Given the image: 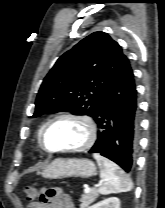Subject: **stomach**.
<instances>
[{
	"label": "stomach",
	"mask_w": 165,
	"mask_h": 208,
	"mask_svg": "<svg viewBox=\"0 0 165 208\" xmlns=\"http://www.w3.org/2000/svg\"><path fill=\"white\" fill-rule=\"evenodd\" d=\"M95 174V164L85 158H57L46 165L41 172V175L48 179L88 178Z\"/></svg>",
	"instance_id": "0dacf381"
}]
</instances>
